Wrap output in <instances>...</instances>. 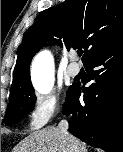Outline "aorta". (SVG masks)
Listing matches in <instances>:
<instances>
[{"label": "aorta", "instance_id": "762f6f07", "mask_svg": "<svg viewBox=\"0 0 123 152\" xmlns=\"http://www.w3.org/2000/svg\"><path fill=\"white\" fill-rule=\"evenodd\" d=\"M32 82L36 91L49 94L54 84V59L47 50L40 51L32 63Z\"/></svg>", "mask_w": 123, "mask_h": 152}]
</instances>
